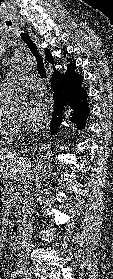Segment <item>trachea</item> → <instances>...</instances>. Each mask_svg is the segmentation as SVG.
<instances>
[{"mask_svg": "<svg viewBox=\"0 0 113 279\" xmlns=\"http://www.w3.org/2000/svg\"><path fill=\"white\" fill-rule=\"evenodd\" d=\"M22 40L25 42V44L28 46V48L30 49V51L32 52V54L34 55L36 62H37V70L39 75L42 78H47V74L45 71V67H44V63L43 60L38 52V49L36 47V44L34 43V41L31 39V37L26 34V33H21L20 34Z\"/></svg>", "mask_w": 113, "mask_h": 279, "instance_id": "1", "label": "trachea"}]
</instances>
